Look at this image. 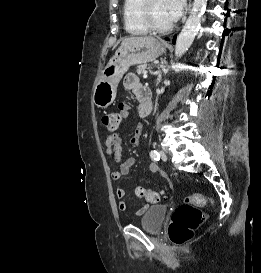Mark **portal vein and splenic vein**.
I'll list each match as a JSON object with an SVG mask.
<instances>
[{
  "instance_id": "18ae733b",
  "label": "portal vein and splenic vein",
  "mask_w": 261,
  "mask_h": 273,
  "mask_svg": "<svg viewBox=\"0 0 261 273\" xmlns=\"http://www.w3.org/2000/svg\"><path fill=\"white\" fill-rule=\"evenodd\" d=\"M147 77H148L147 72H144L143 78H147Z\"/></svg>"
}]
</instances>
